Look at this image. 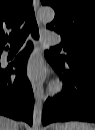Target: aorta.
I'll return each mask as SVG.
<instances>
[{
  "label": "aorta",
  "instance_id": "obj_1",
  "mask_svg": "<svg viewBox=\"0 0 95 130\" xmlns=\"http://www.w3.org/2000/svg\"><path fill=\"white\" fill-rule=\"evenodd\" d=\"M55 12L51 7H42L37 12V17L40 21L51 22L53 21ZM42 99L43 92L41 91L35 99L33 109V125L32 130H41L42 126Z\"/></svg>",
  "mask_w": 95,
  "mask_h": 130
}]
</instances>
